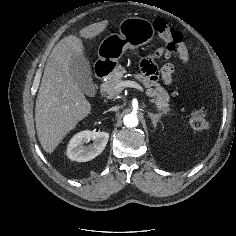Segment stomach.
<instances>
[{
  "label": "stomach",
  "instance_id": "0dacf381",
  "mask_svg": "<svg viewBox=\"0 0 236 236\" xmlns=\"http://www.w3.org/2000/svg\"><path fill=\"white\" fill-rule=\"evenodd\" d=\"M118 28L119 33L104 38L98 48L99 61L108 63L109 69L113 70L127 49H137L151 42L154 37L152 23L143 18H125Z\"/></svg>",
  "mask_w": 236,
  "mask_h": 236
}]
</instances>
